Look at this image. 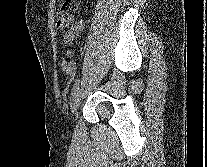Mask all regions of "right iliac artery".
<instances>
[{
  "instance_id": "1",
  "label": "right iliac artery",
  "mask_w": 207,
  "mask_h": 167,
  "mask_svg": "<svg viewBox=\"0 0 207 167\" xmlns=\"http://www.w3.org/2000/svg\"><path fill=\"white\" fill-rule=\"evenodd\" d=\"M79 83H80V80L77 79V80L75 81V84H74L73 88H72V92H71V95H72V96H74L75 93L77 92V90L79 89Z\"/></svg>"
}]
</instances>
